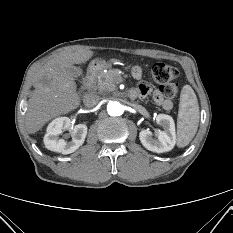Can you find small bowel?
Here are the masks:
<instances>
[{"instance_id": "c3829d8e", "label": "small bowel", "mask_w": 233, "mask_h": 233, "mask_svg": "<svg viewBox=\"0 0 233 233\" xmlns=\"http://www.w3.org/2000/svg\"><path fill=\"white\" fill-rule=\"evenodd\" d=\"M132 75L134 78L139 79L142 75L141 69L139 67H134L132 70ZM133 91L135 92V97L143 98L148 96L149 94H152L154 102L164 110H170L173 106V103L163 96L160 89H152L149 85L145 83L140 84Z\"/></svg>"}]
</instances>
